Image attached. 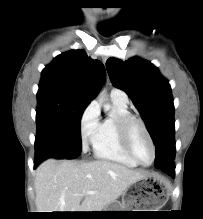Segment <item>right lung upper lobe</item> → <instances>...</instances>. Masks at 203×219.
<instances>
[{"instance_id": "obj_1", "label": "right lung upper lobe", "mask_w": 203, "mask_h": 219, "mask_svg": "<svg viewBox=\"0 0 203 219\" xmlns=\"http://www.w3.org/2000/svg\"><path fill=\"white\" fill-rule=\"evenodd\" d=\"M105 70L83 50L58 55L41 73L39 90H56L91 102L99 92Z\"/></svg>"}]
</instances>
